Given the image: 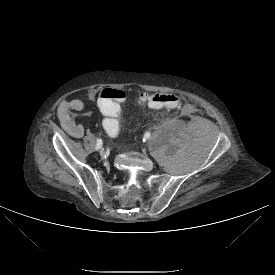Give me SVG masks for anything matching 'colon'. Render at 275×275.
Masks as SVG:
<instances>
[{
    "label": "colon",
    "mask_w": 275,
    "mask_h": 275,
    "mask_svg": "<svg viewBox=\"0 0 275 275\" xmlns=\"http://www.w3.org/2000/svg\"><path fill=\"white\" fill-rule=\"evenodd\" d=\"M126 98V93L118 89H105L97 95L96 102L100 113L104 116L101 120V129L108 138L114 139L120 135L118 105ZM142 102L153 109H175L180 105L181 99L169 93H143L140 95Z\"/></svg>",
    "instance_id": "5ec220e1"
}]
</instances>
